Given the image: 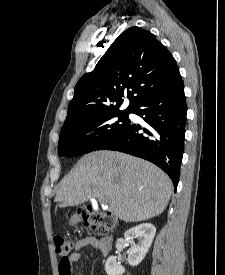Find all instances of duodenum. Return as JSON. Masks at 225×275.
Wrapping results in <instances>:
<instances>
[{"instance_id": "obj_1", "label": "duodenum", "mask_w": 225, "mask_h": 275, "mask_svg": "<svg viewBox=\"0 0 225 275\" xmlns=\"http://www.w3.org/2000/svg\"><path fill=\"white\" fill-rule=\"evenodd\" d=\"M102 242V254L106 255L111 249L112 239L110 236H103L101 239Z\"/></svg>"}]
</instances>
